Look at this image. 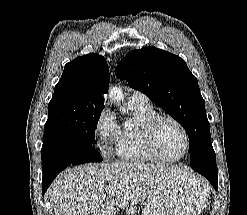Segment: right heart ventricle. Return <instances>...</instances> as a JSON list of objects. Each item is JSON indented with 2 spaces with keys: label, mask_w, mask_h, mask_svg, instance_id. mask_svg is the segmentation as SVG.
I'll return each instance as SVG.
<instances>
[{
  "label": "right heart ventricle",
  "mask_w": 247,
  "mask_h": 215,
  "mask_svg": "<svg viewBox=\"0 0 247 215\" xmlns=\"http://www.w3.org/2000/svg\"><path fill=\"white\" fill-rule=\"evenodd\" d=\"M128 108L134 119V126H123L118 130L115 141V154L125 162L144 163L157 160L148 150L142 126L156 116L152 106H139L133 103Z\"/></svg>",
  "instance_id": "1"
}]
</instances>
